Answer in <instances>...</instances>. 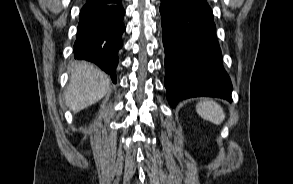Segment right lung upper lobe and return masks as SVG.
<instances>
[{
    "mask_svg": "<svg viewBox=\"0 0 293 184\" xmlns=\"http://www.w3.org/2000/svg\"><path fill=\"white\" fill-rule=\"evenodd\" d=\"M110 0H87V3H94V4H104L109 2Z\"/></svg>",
    "mask_w": 293,
    "mask_h": 184,
    "instance_id": "1",
    "label": "right lung upper lobe"
}]
</instances>
